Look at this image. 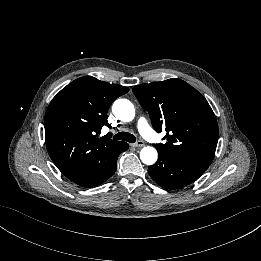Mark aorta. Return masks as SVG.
Instances as JSON below:
<instances>
[{
	"instance_id": "aorta-1",
	"label": "aorta",
	"mask_w": 261,
	"mask_h": 261,
	"mask_svg": "<svg viewBox=\"0 0 261 261\" xmlns=\"http://www.w3.org/2000/svg\"><path fill=\"white\" fill-rule=\"evenodd\" d=\"M113 114L121 121H131L135 117L133 104L127 99H117L112 105ZM158 158V153L153 147H144L140 152V159L146 165H153Z\"/></svg>"
}]
</instances>
